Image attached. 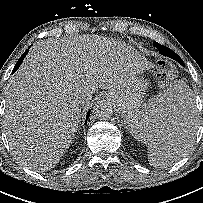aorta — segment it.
<instances>
[{
    "instance_id": "1",
    "label": "aorta",
    "mask_w": 203,
    "mask_h": 203,
    "mask_svg": "<svg viewBox=\"0 0 203 203\" xmlns=\"http://www.w3.org/2000/svg\"><path fill=\"white\" fill-rule=\"evenodd\" d=\"M95 116L99 119L106 120L113 115V107L109 102H98L93 109Z\"/></svg>"
}]
</instances>
